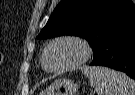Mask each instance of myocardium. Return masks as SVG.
<instances>
[{"mask_svg":"<svg viewBox=\"0 0 135 95\" xmlns=\"http://www.w3.org/2000/svg\"><path fill=\"white\" fill-rule=\"evenodd\" d=\"M62 42H70V43L76 44L81 50V56L79 57L78 60H76L74 63L70 65H67L65 67L58 68V69H50L46 65V58L48 56V53L52 49L53 46ZM91 55H92V48L90 44L84 38L76 36V35H65V36L58 37L49 43V45L46 47L43 53L41 63L45 70L52 73H61V72H65V71L77 68L78 66L82 65L91 57Z\"/></svg>","mask_w":135,"mask_h":95,"instance_id":"myocardium-1","label":"myocardium"}]
</instances>
